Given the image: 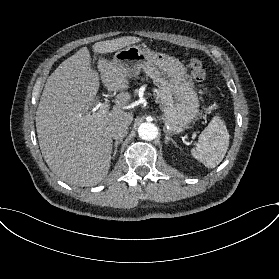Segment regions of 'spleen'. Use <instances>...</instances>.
Masks as SVG:
<instances>
[{
	"instance_id": "obj_1",
	"label": "spleen",
	"mask_w": 279,
	"mask_h": 279,
	"mask_svg": "<svg viewBox=\"0 0 279 279\" xmlns=\"http://www.w3.org/2000/svg\"><path fill=\"white\" fill-rule=\"evenodd\" d=\"M205 93L212 98L208 90H205ZM228 147L229 133L227 127L219 117L214 116L198 136V143L190 150V153L194 159L205 167L214 168L221 163Z\"/></svg>"
}]
</instances>
